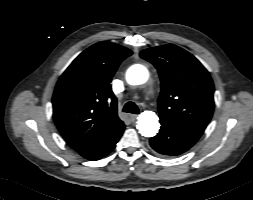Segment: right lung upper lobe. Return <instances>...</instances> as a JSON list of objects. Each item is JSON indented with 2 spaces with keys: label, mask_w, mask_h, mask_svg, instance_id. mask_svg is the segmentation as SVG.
I'll return each mask as SVG.
<instances>
[{
  "label": "right lung upper lobe",
  "mask_w": 253,
  "mask_h": 200,
  "mask_svg": "<svg viewBox=\"0 0 253 200\" xmlns=\"http://www.w3.org/2000/svg\"><path fill=\"white\" fill-rule=\"evenodd\" d=\"M132 52L99 42L82 52L60 77L53 94V118L65 140L80 152L124 127L117 116L111 79Z\"/></svg>",
  "instance_id": "1"
}]
</instances>
